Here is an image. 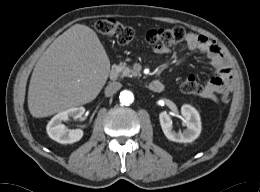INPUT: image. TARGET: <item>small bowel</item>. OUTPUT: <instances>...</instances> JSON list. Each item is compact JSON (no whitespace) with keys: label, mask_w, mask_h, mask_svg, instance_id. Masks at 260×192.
<instances>
[{"label":"small bowel","mask_w":260,"mask_h":192,"mask_svg":"<svg viewBox=\"0 0 260 192\" xmlns=\"http://www.w3.org/2000/svg\"><path fill=\"white\" fill-rule=\"evenodd\" d=\"M186 43L190 50L206 55L215 69L214 76L205 85H202L201 91L197 95L225 102L234 87L235 78L221 48L215 41L196 33H190ZM154 52L167 54L169 49L165 46H157L154 47Z\"/></svg>","instance_id":"c3829d8e"}]
</instances>
